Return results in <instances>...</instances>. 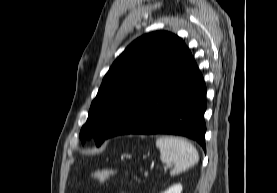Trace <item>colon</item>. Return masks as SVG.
<instances>
[{"mask_svg": "<svg viewBox=\"0 0 277 193\" xmlns=\"http://www.w3.org/2000/svg\"><path fill=\"white\" fill-rule=\"evenodd\" d=\"M116 176V171L111 169L96 170L91 174V179L98 182H108Z\"/></svg>", "mask_w": 277, "mask_h": 193, "instance_id": "colon-1", "label": "colon"}]
</instances>
